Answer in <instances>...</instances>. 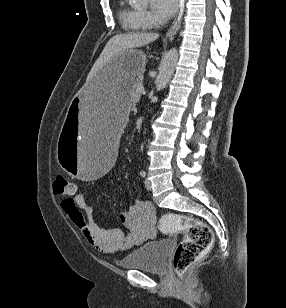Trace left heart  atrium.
<instances>
[{
    "instance_id": "39dd6f15",
    "label": "left heart atrium",
    "mask_w": 286,
    "mask_h": 308,
    "mask_svg": "<svg viewBox=\"0 0 286 308\" xmlns=\"http://www.w3.org/2000/svg\"><path fill=\"white\" fill-rule=\"evenodd\" d=\"M179 0H152V9L161 19L172 17L178 9Z\"/></svg>"
}]
</instances>
